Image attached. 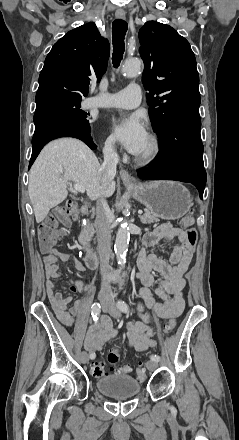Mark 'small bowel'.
Listing matches in <instances>:
<instances>
[{"instance_id": "1", "label": "small bowel", "mask_w": 239, "mask_h": 440, "mask_svg": "<svg viewBox=\"0 0 239 440\" xmlns=\"http://www.w3.org/2000/svg\"><path fill=\"white\" fill-rule=\"evenodd\" d=\"M172 240H176V244L170 252L168 262L158 258L155 254H147V247H156ZM44 252L45 285L48 296L59 320L66 326H72L74 314L80 310L81 305L76 304L68 311L67 305L72 298L64 297L61 292L56 291L55 280L61 276L58 262L72 261L75 269L79 272H83L85 266L67 252L58 249ZM193 254L194 246L188 243L186 232L171 224H162L144 236L138 256L139 272L137 274L138 281L141 284L140 294L143 300V303L138 306L142 321L129 323L127 328L128 343L136 351H144L155 346V341L152 338L153 329L150 326V316L144 312V305L162 319L177 317L182 313L184 309L183 289L186 284L184 275ZM154 271L159 272L163 278L156 279L153 276ZM151 287L154 288L155 295L160 301L154 298L150 291ZM69 290L75 292L78 290L87 291L88 289L83 286L81 281L71 280ZM116 334L117 331L111 318L107 315H101L87 329L84 347L90 353L95 354Z\"/></svg>"}]
</instances>
